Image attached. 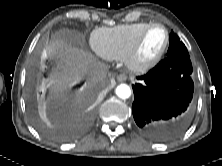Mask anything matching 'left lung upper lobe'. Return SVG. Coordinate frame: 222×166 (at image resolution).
Wrapping results in <instances>:
<instances>
[{
	"mask_svg": "<svg viewBox=\"0 0 222 166\" xmlns=\"http://www.w3.org/2000/svg\"><path fill=\"white\" fill-rule=\"evenodd\" d=\"M175 55L190 57L184 43L180 41L179 37L173 31H171L169 36V48L167 51V57Z\"/></svg>",
	"mask_w": 222,
	"mask_h": 166,
	"instance_id": "obj_1",
	"label": "left lung upper lobe"
}]
</instances>
